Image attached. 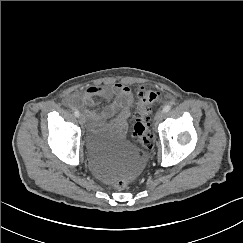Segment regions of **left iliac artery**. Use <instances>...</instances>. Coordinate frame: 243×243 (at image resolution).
Here are the masks:
<instances>
[{"instance_id":"obj_1","label":"left iliac artery","mask_w":243,"mask_h":243,"mask_svg":"<svg viewBox=\"0 0 243 243\" xmlns=\"http://www.w3.org/2000/svg\"><path fill=\"white\" fill-rule=\"evenodd\" d=\"M170 109H171V106L166 105V106H164L163 111H164V113H167L168 111H170Z\"/></svg>"}]
</instances>
